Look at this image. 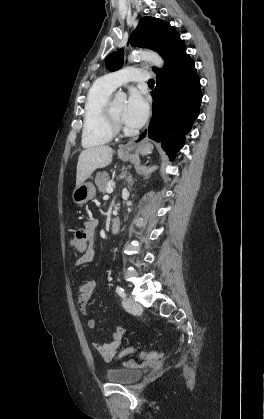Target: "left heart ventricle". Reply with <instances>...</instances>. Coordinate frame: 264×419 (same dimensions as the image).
<instances>
[{
	"label": "left heart ventricle",
	"instance_id": "obj_1",
	"mask_svg": "<svg viewBox=\"0 0 264 419\" xmlns=\"http://www.w3.org/2000/svg\"><path fill=\"white\" fill-rule=\"evenodd\" d=\"M112 109L117 116L122 118L125 109V103L123 101H114L112 103Z\"/></svg>",
	"mask_w": 264,
	"mask_h": 419
}]
</instances>
